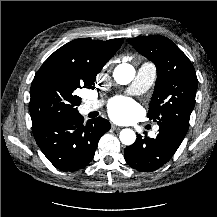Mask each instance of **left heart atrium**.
<instances>
[{
    "instance_id": "obj_1",
    "label": "left heart atrium",
    "mask_w": 217,
    "mask_h": 217,
    "mask_svg": "<svg viewBox=\"0 0 217 217\" xmlns=\"http://www.w3.org/2000/svg\"><path fill=\"white\" fill-rule=\"evenodd\" d=\"M136 110V104L127 98H116L109 105L110 116L121 122L129 120Z\"/></svg>"
}]
</instances>
